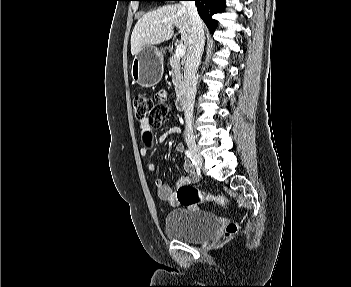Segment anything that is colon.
<instances>
[{"label": "colon", "instance_id": "obj_1", "mask_svg": "<svg viewBox=\"0 0 351 287\" xmlns=\"http://www.w3.org/2000/svg\"><path fill=\"white\" fill-rule=\"evenodd\" d=\"M167 99L168 93L166 91L158 92L155 98L143 93L136 94L133 103L137 118L147 119L150 127H160L163 119L168 114ZM176 196L178 202L184 206H191L197 203L214 205L227 203V199L224 197L198 190L187 184L178 188ZM237 230V224L230 223L226 228L225 238L231 237Z\"/></svg>", "mask_w": 351, "mask_h": 287}]
</instances>
